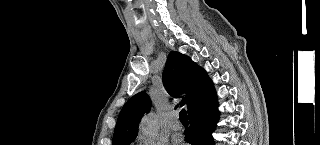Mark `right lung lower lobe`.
Returning <instances> with one entry per match:
<instances>
[{
    "label": "right lung lower lobe",
    "instance_id": "1",
    "mask_svg": "<svg viewBox=\"0 0 320 145\" xmlns=\"http://www.w3.org/2000/svg\"><path fill=\"white\" fill-rule=\"evenodd\" d=\"M190 127L185 130L186 141L191 145H214L212 132L219 119L218 102L213 83L203 102L188 113Z\"/></svg>",
    "mask_w": 320,
    "mask_h": 145
}]
</instances>
